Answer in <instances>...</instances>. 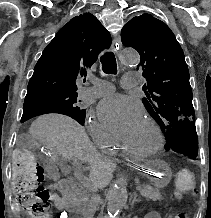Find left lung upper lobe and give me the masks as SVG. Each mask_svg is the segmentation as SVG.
Masks as SVG:
<instances>
[{
	"label": "left lung upper lobe",
	"instance_id": "1",
	"mask_svg": "<svg viewBox=\"0 0 211 218\" xmlns=\"http://www.w3.org/2000/svg\"><path fill=\"white\" fill-rule=\"evenodd\" d=\"M125 47L138 51L137 66L146 79L142 102L160 126L166 150L195 159L198 138L189 70L181 46L171 29L150 14L132 18L121 31Z\"/></svg>",
	"mask_w": 211,
	"mask_h": 218
}]
</instances>
